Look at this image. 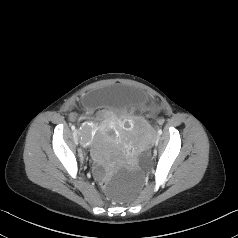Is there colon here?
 I'll return each mask as SVG.
<instances>
[{
  "label": "colon",
  "mask_w": 238,
  "mask_h": 238,
  "mask_svg": "<svg viewBox=\"0 0 238 238\" xmlns=\"http://www.w3.org/2000/svg\"><path fill=\"white\" fill-rule=\"evenodd\" d=\"M161 120H159L160 122ZM109 186V181L107 179H102L100 182H99V187L101 189H106L107 187Z\"/></svg>",
  "instance_id": "1"
}]
</instances>
